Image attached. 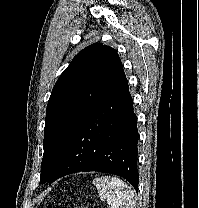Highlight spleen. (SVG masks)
Segmentation results:
<instances>
[{
  "label": "spleen",
  "instance_id": "1",
  "mask_svg": "<svg viewBox=\"0 0 199 208\" xmlns=\"http://www.w3.org/2000/svg\"><path fill=\"white\" fill-rule=\"evenodd\" d=\"M101 200L111 208H135L134 191L124 181L112 176H101L93 180Z\"/></svg>",
  "mask_w": 199,
  "mask_h": 208
}]
</instances>
